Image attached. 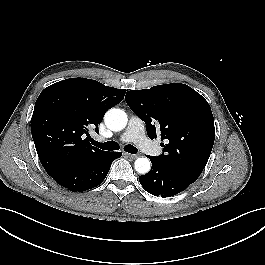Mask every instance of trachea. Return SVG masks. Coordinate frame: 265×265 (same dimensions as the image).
<instances>
[{
    "instance_id": "obj_1",
    "label": "trachea",
    "mask_w": 265,
    "mask_h": 265,
    "mask_svg": "<svg viewBox=\"0 0 265 265\" xmlns=\"http://www.w3.org/2000/svg\"><path fill=\"white\" fill-rule=\"evenodd\" d=\"M91 142L94 146L103 150L113 151V150H118L120 148L119 144L115 141H107L105 143H100L92 139ZM124 150L131 154H136L138 151L136 147L130 144L126 145L124 147Z\"/></svg>"
}]
</instances>
